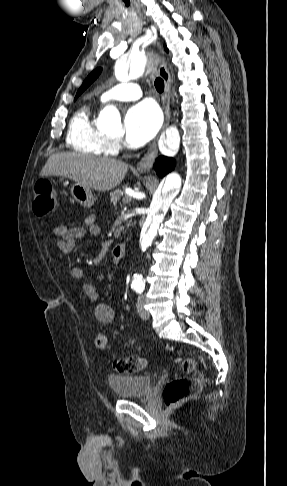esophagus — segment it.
I'll return each instance as SVG.
<instances>
[{
    "instance_id": "esophagus-1",
    "label": "esophagus",
    "mask_w": 287,
    "mask_h": 486,
    "mask_svg": "<svg viewBox=\"0 0 287 486\" xmlns=\"http://www.w3.org/2000/svg\"><path fill=\"white\" fill-rule=\"evenodd\" d=\"M162 57L160 59V64L158 68V73L160 77L164 81L165 89L164 93L162 96V106L164 110V123L161 129V132L165 130V128L169 125L170 118H171V109H170V87H171V81H170V74L167 68V63L165 60L164 52L161 51ZM157 141L158 137L153 141L147 152L144 154V156L141 158V160L137 163V170L140 172H148L151 170L155 159L158 154V149H157Z\"/></svg>"
}]
</instances>
